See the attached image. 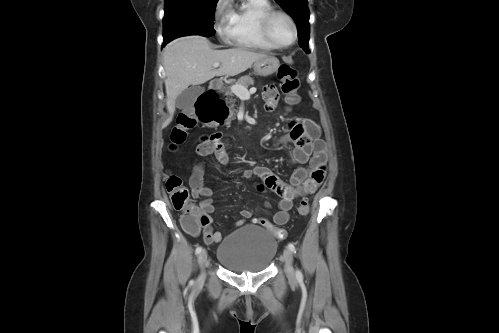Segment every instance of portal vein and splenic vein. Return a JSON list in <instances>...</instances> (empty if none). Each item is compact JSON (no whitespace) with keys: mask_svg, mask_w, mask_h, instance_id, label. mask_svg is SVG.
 I'll list each match as a JSON object with an SVG mask.
<instances>
[{"mask_svg":"<svg viewBox=\"0 0 499 333\" xmlns=\"http://www.w3.org/2000/svg\"><path fill=\"white\" fill-rule=\"evenodd\" d=\"M219 66H220V63L213 64L214 68H217ZM230 89L240 99H248V98H250V95L256 91L255 89L248 90L246 87H244L242 85H238V84L232 85L230 87Z\"/></svg>","mask_w":499,"mask_h":333,"instance_id":"18ae733b","label":"portal vein and splenic vein"}]
</instances>
